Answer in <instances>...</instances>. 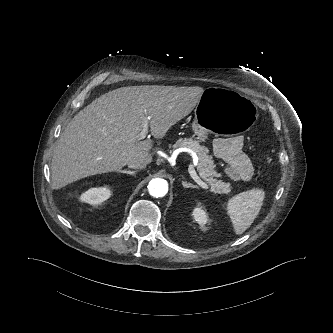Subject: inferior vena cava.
Wrapping results in <instances>:
<instances>
[{
  "label": "inferior vena cava",
  "mask_w": 333,
  "mask_h": 333,
  "mask_svg": "<svg viewBox=\"0 0 333 333\" xmlns=\"http://www.w3.org/2000/svg\"><path fill=\"white\" fill-rule=\"evenodd\" d=\"M128 167L133 169H144L146 168L147 163L140 159H134L128 162Z\"/></svg>",
  "instance_id": "obj_1"
}]
</instances>
